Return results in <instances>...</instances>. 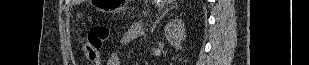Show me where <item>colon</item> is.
<instances>
[{
    "label": "colon",
    "mask_w": 309,
    "mask_h": 65,
    "mask_svg": "<svg viewBox=\"0 0 309 65\" xmlns=\"http://www.w3.org/2000/svg\"><path fill=\"white\" fill-rule=\"evenodd\" d=\"M110 36L106 26H95L82 38V48L85 58L93 65L101 64V50Z\"/></svg>",
    "instance_id": "1"
}]
</instances>
